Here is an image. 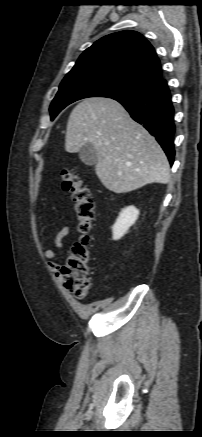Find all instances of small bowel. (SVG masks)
<instances>
[{"mask_svg": "<svg viewBox=\"0 0 202 437\" xmlns=\"http://www.w3.org/2000/svg\"><path fill=\"white\" fill-rule=\"evenodd\" d=\"M70 228L68 226H62L55 230L54 243L58 251L63 248L64 239L70 234ZM44 257L47 259L48 267L57 276H60V264L58 263L57 253L52 249L44 251Z\"/></svg>", "mask_w": 202, "mask_h": 437, "instance_id": "1", "label": "small bowel"}]
</instances>
